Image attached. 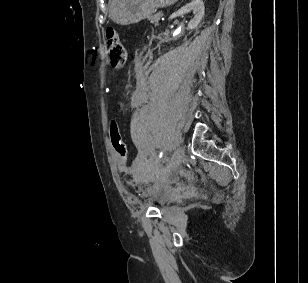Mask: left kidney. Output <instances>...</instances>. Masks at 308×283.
Wrapping results in <instances>:
<instances>
[{
	"mask_svg": "<svg viewBox=\"0 0 308 283\" xmlns=\"http://www.w3.org/2000/svg\"><path fill=\"white\" fill-rule=\"evenodd\" d=\"M193 11L194 17L189 21L188 27L190 29H195L200 24L204 16V3L202 0H193L187 5L180 8L177 12L173 13L169 19H174L176 17L182 16L189 12ZM165 36H168L167 33H164Z\"/></svg>",
	"mask_w": 308,
	"mask_h": 283,
	"instance_id": "1",
	"label": "left kidney"
}]
</instances>
